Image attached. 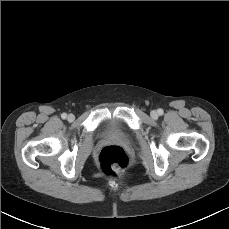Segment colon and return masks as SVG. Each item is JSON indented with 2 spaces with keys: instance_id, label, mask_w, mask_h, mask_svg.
Masks as SVG:
<instances>
[{
  "instance_id": "5ec220e1",
  "label": "colon",
  "mask_w": 229,
  "mask_h": 229,
  "mask_svg": "<svg viewBox=\"0 0 229 229\" xmlns=\"http://www.w3.org/2000/svg\"><path fill=\"white\" fill-rule=\"evenodd\" d=\"M128 156L119 146H106L102 148L98 156V165L106 175H114L128 165Z\"/></svg>"
}]
</instances>
